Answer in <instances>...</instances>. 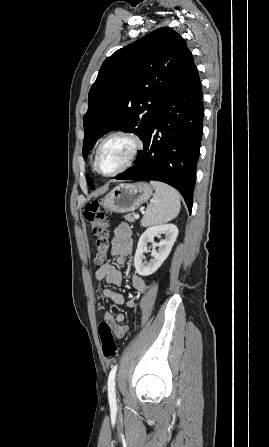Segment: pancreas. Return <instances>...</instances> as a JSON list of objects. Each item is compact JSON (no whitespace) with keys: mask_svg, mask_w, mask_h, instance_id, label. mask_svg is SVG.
<instances>
[{"mask_svg":"<svg viewBox=\"0 0 269 447\" xmlns=\"http://www.w3.org/2000/svg\"><path fill=\"white\" fill-rule=\"evenodd\" d=\"M124 220H126V222H135L132 214H127V216H124Z\"/></svg>","mask_w":269,"mask_h":447,"instance_id":"obj_1","label":"pancreas"}]
</instances>
